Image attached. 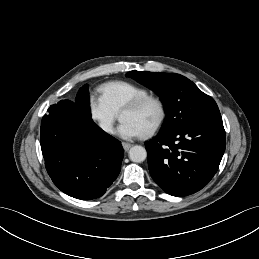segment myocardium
Listing matches in <instances>:
<instances>
[{"label": "myocardium", "mask_w": 259, "mask_h": 259, "mask_svg": "<svg viewBox=\"0 0 259 259\" xmlns=\"http://www.w3.org/2000/svg\"><path fill=\"white\" fill-rule=\"evenodd\" d=\"M149 102L156 104V106L158 107V110H159V116L153 126H151L147 131L141 133L142 137L152 136L162 127V125L166 119V116H167L166 106H165L163 100L160 97L154 96V95H146L143 97H138V98L131 100L126 105H124L119 112V116L121 118V115L123 113L136 111L140 107H142L144 104L149 103Z\"/></svg>", "instance_id": "1"}]
</instances>
